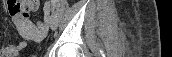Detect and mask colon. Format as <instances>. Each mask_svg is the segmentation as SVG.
Segmentation results:
<instances>
[{
    "instance_id": "1",
    "label": "colon",
    "mask_w": 172,
    "mask_h": 57,
    "mask_svg": "<svg viewBox=\"0 0 172 57\" xmlns=\"http://www.w3.org/2000/svg\"><path fill=\"white\" fill-rule=\"evenodd\" d=\"M37 26H38L39 29H41L42 31H44L45 25L42 22H38L37 23Z\"/></svg>"
}]
</instances>
